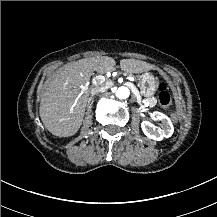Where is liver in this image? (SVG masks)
I'll return each instance as SVG.
<instances>
[{"instance_id": "obj_1", "label": "liver", "mask_w": 217, "mask_h": 217, "mask_svg": "<svg viewBox=\"0 0 217 217\" xmlns=\"http://www.w3.org/2000/svg\"><path fill=\"white\" fill-rule=\"evenodd\" d=\"M115 65L113 58L102 56L80 59L60 68L49 80L41 98L40 117L45 128L58 137L74 135L82 125L92 73L114 71ZM120 68L126 73L139 74L155 70L156 66L141 60L122 59Z\"/></svg>"}]
</instances>
